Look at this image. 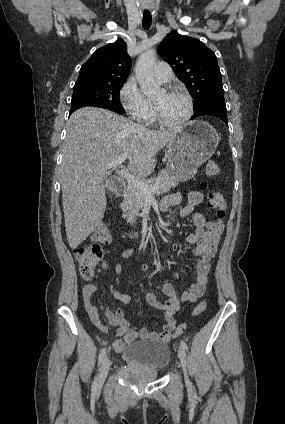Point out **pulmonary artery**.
<instances>
[{
    "mask_svg": "<svg viewBox=\"0 0 285 424\" xmlns=\"http://www.w3.org/2000/svg\"><path fill=\"white\" fill-rule=\"evenodd\" d=\"M153 74L159 82L166 83L172 77V70H171V67L167 63L158 62L153 67Z\"/></svg>",
    "mask_w": 285,
    "mask_h": 424,
    "instance_id": "1",
    "label": "pulmonary artery"
}]
</instances>
